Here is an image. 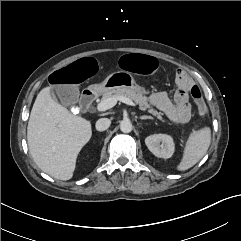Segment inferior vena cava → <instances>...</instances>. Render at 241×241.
Instances as JSON below:
<instances>
[{"instance_id": "602c4592", "label": "inferior vena cava", "mask_w": 241, "mask_h": 241, "mask_svg": "<svg viewBox=\"0 0 241 241\" xmlns=\"http://www.w3.org/2000/svg\"><path fill=\"white\" fill-rule=\"evenodd\" d=\"M111 121L108 118H101L96 122V130L97 131H105L109 128Z\"/></svg>"}]
</instances>
